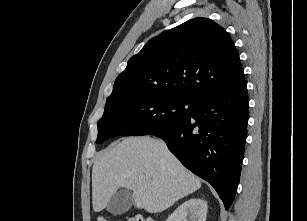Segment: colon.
<instances>
[{
    "instance_id": "colon-1",
    "label": "colon",
    "mask_w": 307,
    "mask_h": 221,
    "mask_svg": "<svg viewBox=\"0 0 307 221\" xmlns=\"http://www.w3.org/2000/svg\"><path fill=\"white\" fill-rule=\"evenodd\" d=\"M97 221H109V220L105 217L100 216L97 218ZM128 221H151V218H146L143 216H134L129 218Z\"/></svg>"
}]
</instances>
